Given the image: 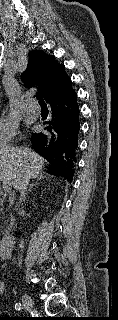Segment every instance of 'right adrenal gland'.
Masks as SVG:
<instances>
[{
  "mask_svg": "<svg viewBox=\"0 0 118 320\" xmlns=\"http://www.w3.org/2000/svg\"><path fill=\"white\" fill-rule=\"evenodd\" d=\"M44 174H45V173H41L39 176H37V177L35 178V182H33V183L30 184V187H29L28 192H31V190L33 189V187L35 186V184H37V182H38L39 180H41V179H43V178L45 177Z\"/></svg>",
  "mask_w": 118,
  "mask_h": 320,
  "instance_id": "obj_1",
  "label": "right adrenal gland"
}]
</instances>
